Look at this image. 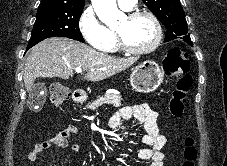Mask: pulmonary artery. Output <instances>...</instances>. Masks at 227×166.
<instances>
[{"mask_svg": "<svg viewBox=\"0 0 227 166\" xmlns=\"http://www.w3.org/2000/svg\"><path fill=\"white\" fill-rule=\"evenodd\" d=\"M137 0H118L119 6L123 10H131L136 5Z\"/></svg>", "mask_w": 227, "mask_h": 166, "instance_id": "obj_1", "label": "pulmonary artery"}]
</instances>
